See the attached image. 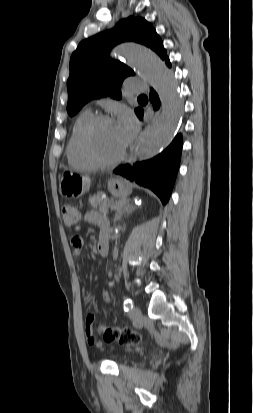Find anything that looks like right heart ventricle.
<instances>
[{"instance_id":"obj_1","label":"right heart ventricle","mask_w":253,"mask_h":413,"mask_svg":"<svg viewBox=\"0 0 253 413\" xmlns=\"http://www.w3.org/2000/svg\"><path fill=\"white\" fill-rule=\"evenodd\" d=\"M93 117L89 110L81 112L75 119L66 146L68 163L82 169H94V165L85 155L81 146V133L86 123Z\"/></svg>"}]
</instances>
